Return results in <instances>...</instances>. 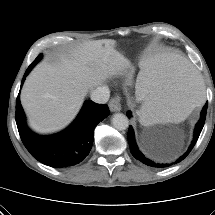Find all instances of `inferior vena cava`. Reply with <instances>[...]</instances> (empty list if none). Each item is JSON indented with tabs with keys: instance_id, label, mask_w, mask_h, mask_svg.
Listing matches in <instances>:
<instances>
[{
	"instance_id": "obj_1",
	"label": "inferior vena cava",
	"mask_w": 215,
	"mask_h": 215,
	"mask_svg": "<svg viewBox=\"0 0 215 215\" xmlns=\"http://www.w3.org/2000/svg\"><path fill=\"white\" fill-rule=\"evenodd\" d=\"M90 97L92 101L99 104H104L108 102L110 97L109 88L106 86L97 87L96 89L91 91Z\"/></svg>"
}]
</instances>
